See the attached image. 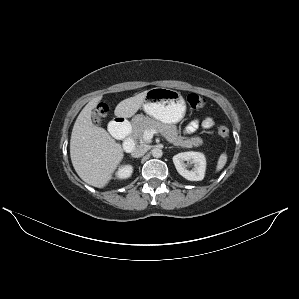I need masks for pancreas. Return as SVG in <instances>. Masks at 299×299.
<instances>
[{"mask_svg":"<svg viewBox=\"0 0 299 299\" xmlns=\"http://www.w3.org/2000/svg\"><path fill=\"white\" fill-rule=\"evenodd\" d=\"M145 130H156L160 132L168 142L175 146L192 148L199 147L203 143L202 139L198 136L190 138L181 136L175 125L163 124L155 119L144 117L142 115L138 116L133 122L132 137L139 139L141 143H145L146 141L143 140Z\"/></svg>","mask_w":299,"mask_h":299,"instance_id":"1","label":"pancreas"}]
</instances>
